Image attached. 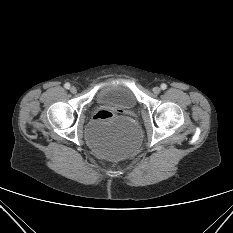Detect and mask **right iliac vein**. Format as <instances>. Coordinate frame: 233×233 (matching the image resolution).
<instances>
[{
	"mask_svg": "<svg viewBox=\"0 0 233 233\" xmlns=\"http://www.w3.org/2000/svg\"><path fill=\"white\" fill-rule=\"evenodd\" d=\"M70 92L73 93V94L77 93V88L75 86H72L70 88Z\"/></svg>",
	"mask_w": 233,
	"mask_h": 233,
	"instance_id": "1",
	"label": "right iliac vein"
}]
</instances>
